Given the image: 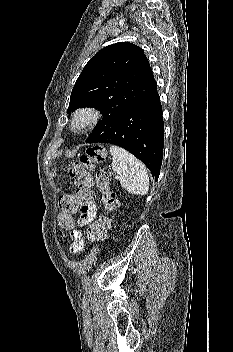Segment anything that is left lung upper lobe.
I'll return each instance as SVG.
<instances>
[{"label": "left lung upper lobe", "instance_id": "5c2ea615", "mask_svg": "<svg viewBox=\"0 0 233 352\" xmlns=\"http://www.w3.org/2000/svg\"><path fill=\"white\" fill-rule=\"evenodd\" d=\"M157 87L144 51L120 42L101 49L78 77L68 113L78 107H96L103 114L86 143L107 131L119 116Z\"/></svg>", "mask_w": 233, "mask_h": 352}]
</instances>
